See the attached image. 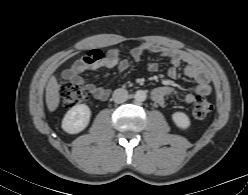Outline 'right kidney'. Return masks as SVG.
Instances as JSON below:
<instances>
[{
    "mask_svg": "<svg viewBox=\"0 0 248 195\" xmlns=\"http://www.w3.org/2000/svg\"><path fill=\"white\" fill-rule=\"evenodd\" d=\"M90 117L91 111L87 105H75L65 114L62 129L69 134L79 133L87 127Z\"/></svg>",
    "mask_w": 248,
    "mask_h": 195,
    "instance_id": "obj_1",
    "label": "right kidney"
}]
</instances>
